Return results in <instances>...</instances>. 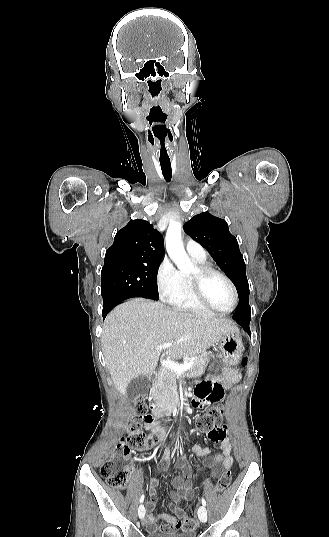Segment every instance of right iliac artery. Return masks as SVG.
<instances>
[{
	"label": "right iliac artery",
	"mask_w": 329,
	"mask_h": 537,
	"mask_svg": "<svg viewBox=\"0 0 329 537\" xmlns=\"http://www.w3.org/2000/svg\"><path fill=\"white\" fill-rule=\"evenodd\" d=\"M144 498H145V496H144V494H143V495L140 497L139 502L142 503V502L144 501Z\"/></svg>",
	"instance_id": "82829eb1"
}]
</instances>
